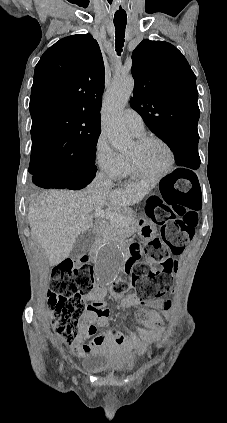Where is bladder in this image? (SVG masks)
<instances>
[{"instance_id":"1","label":"bladder","mask_w":227,"mask_h":423,"mask_svg":"<svg viewBox=\"0 0 227 423\" xmlns=\"http://www.w3.org/2000/svg\"><path fill=\"white\" fill-rule=\"evenodd\" d=\"M135 356L129 353L122 354L119 356H103L96 355L91 357L92 365L90 369L92 371H103V372H127L131 371L134 366Z\"/></svg>"}]
</instances>
